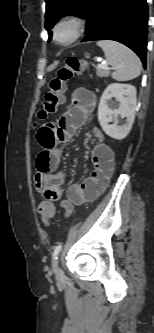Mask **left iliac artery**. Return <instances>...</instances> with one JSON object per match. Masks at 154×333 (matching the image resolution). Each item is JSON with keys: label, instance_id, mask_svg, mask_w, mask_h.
<instances>
[{"label": "left iliac artery", "instance_id": "left-iliac-artery-1", "mask_svg": "<svg viewBox=\"0 0 154 333\" xmlns=\"http://www.w3.org/2000/svg\"><path fill=\"white\" fill-rule=\"evenodd\" d=\"M61 249H62V245H61V244H60V245H57V246L55 247V249H54V251H53V254H52V261H53V264H55L56 259H57V256H58V254L60 253Z\"/></svg>", "mask_w": 154, "mask_h": 333}]
</instances>
